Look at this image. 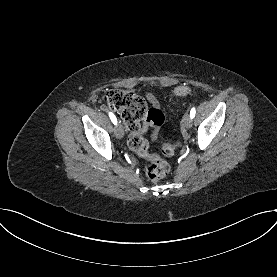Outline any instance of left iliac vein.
<instances>
[{"label":"left iliac vein","mask_w":277,"mask_h":277,"mask_svg":"<svg viewBox=\"0 0 277 277\" xmlns=\"http://www.w3.org/2000/svg\"><path fill=\"white\" fill-rule=\"evenodd\" d=\"M182 125L183 127L189 129L192 127V118L190 117V115L188 113H186L183 117L182 120Z\"/></svg>","instance_id":"left-iliac-vein-1"}]
</instances>
